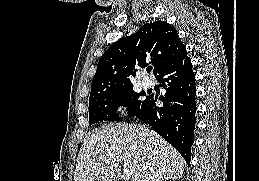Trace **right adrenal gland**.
<instances>
[{"label":"right adrenal gland","mask_w":259,"mask_h":181,"mask_svg":"<svg viewBox=\"0 0 259 181\" xmlns=\"http://www.w3.org/2000/svg\"><path fill=\"white\" fill-rule=\"evenodd\" d=\"M160 181H168V180H163V179H162V180H160Z\"/></svg>","instance_id":"right-adrenal-gland-1"}]
</instances>
